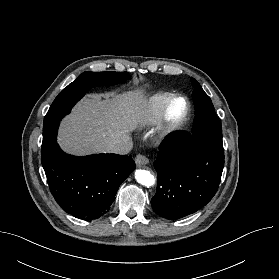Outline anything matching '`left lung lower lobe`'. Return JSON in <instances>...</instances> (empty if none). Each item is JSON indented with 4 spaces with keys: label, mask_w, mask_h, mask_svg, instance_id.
<instances>
[{
    "label": "left lung lower lobe",
    "mask_w": 279,
    "mask_h": 279,
    "mask_svg": "<svg viewBox=\"0 0 279 279\" xmlns=\"http://www.w3.org/2000/svg\"><path fill=\"white\" fill-rule=\"evenodd\" d=\"M157 192L151 200L159 216L175 220L205 206L215 195L224 167V151L185 133L170 134L157 160Z\"/></svg>",
    "instance_id": "1"
}]
</instances>
